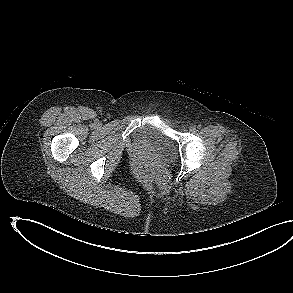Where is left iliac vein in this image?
Segmentation results:
<instances>
[{"label":"left iliac vein","mask_w":293,"mask_h":293,"mask_svg":"<svg viewBox=\"0 0 293 293\" xmlns=\"http://www.w3.org/2000/svg\"><path fill=\"white\" fill-rule=\"evenodd\" d=\"M189 131H190V132H195V131H196V127H195V126H191V127L189 128Z\"/></svg>","instance_id":"obj_1"}]
</instances>
